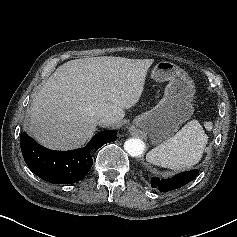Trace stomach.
Returning <instances> with one entry per match:
<instances>
[{
  "mask_svg": "<svg viewBox=\"0 0 237 237\" xmlns=\"http://www.w3.org/2000/svg\"><path fill=\"white\" fill-rule=\"evenodd\" d=\"M151 78L156 82L168 81L164 97L151 110L138 115L133 124L146 133L152 143L159 144L177 132L192 116L195 86L184 70L169 61L157 62Z\"/></svg>",
  "mask_w": 237,
  "mask_h": 237,
  "instance_id": "stomach-1",
  "label": "stomach"
}]
</instances>
